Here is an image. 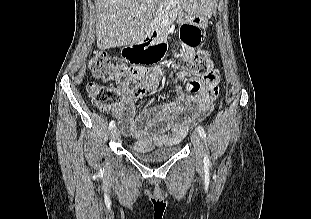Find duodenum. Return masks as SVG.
<instances>
[{"label":"duodenum","instance_id":"1","mask_svg":"<svg viewBox=\"0 0 311 219\" xmlns=\"http://www.w3.org/2000/svg\"><path fill=\"white\" fill-rule=\"evenodd\" d=\"M165 43L157 29H151L145 35L141 43L135 44L128 48L129 56H140L144 53L151 54L155 50L164 48Z\"/></svg>","mask_w":311,"mask_h":219}]
</instances>
